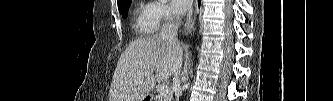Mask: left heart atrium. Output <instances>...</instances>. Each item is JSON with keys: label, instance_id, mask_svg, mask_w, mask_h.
Instances as JSON below:
<instances>
[{"label": "left heart atrium", "instance_id": "obj_1", "mask_svg": "<svg viewBox=\"0 0 333 101\" xmlns=\"http://www.w3.org/2000/svg\"><path fill=\"white\" fill-rule=\"evenodd\" d=\"M171 3L178 13L186 12L190 6L189 0H172Z\"/></svg>", "mask_w": 333, "mask_h": 101}]
</instances>
